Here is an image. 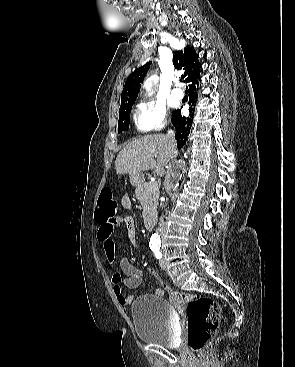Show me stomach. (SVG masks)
I'll list each match as a JSON object with an SVG mask.
<instances>
[{
  "instance_id": "stomach-1",
  "label": "stomach",
  "mask_w": 295,
  "mask_h": 367,
  "mask_svg": "<svg viewBox=\"0 0 295 367\" xmlns=\"http://www.w3.org/2000/svg\"><path fill=\"white\" fill-rule=\"evenodd\" d=\"M130 182L133 186H139L144 182V176L141 173L130 174Z\"/></svg>"
}]
</instances>
